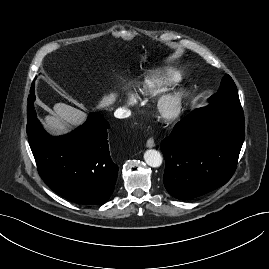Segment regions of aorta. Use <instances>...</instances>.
<instances>
[{"label": "aorta", "mask_w": 269, "mask_h": 269, "mask_svg": "<svg viewBox=\"0 0 269 269\" xmlns=\"http://www.w3.org/2000/svg\"><path fill=\"white\" fill-rule=\"evenodd\" d=\"M144 160L147 165L153 168H157L162 164V156L159 151L155 149H149L145 151Z\"/></svg>", "instance_id": "1"}]
</instances>
